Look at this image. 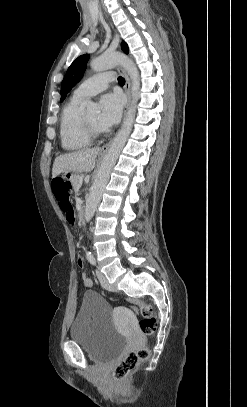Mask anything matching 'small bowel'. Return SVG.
<instances>
[{"label": "small bowel", "mask_w": 247, "mask_h": 407, "mask_svg": "<svg viewBox=\"0 0 247 407\" xmlns=\"http://www.w3.org/2000/svg\"><path fill=\"white\" fill-rule=\"evenodd\" d=\"M64 215H65L66 221L69 224H71V225L75 224V213H74L73 208L70 211H68L67 213H64ZM77 264H78V266L82 267L83 260L81 258H78ZM82 280H83L84 286H86V287L92 286V281L90 278L87 277L86 274H82Z\"/></svg>", "instance_id": "c3829d8e"}]
</instances>
